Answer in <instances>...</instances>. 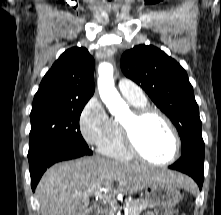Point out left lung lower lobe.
Returning a JSON list of instances; mask_svg holds the SVG:
<instances>
[{"label":"left lung lower lobe","mask_w":221,"mask_h":215,"mask_svg":"<svg viewBox=\"0 0 221 215\" xmlns=\"http://www.w3.org/2000/svg\"><path fill=\"white\" fill-rule=\"evenodd\" d=\"M204 151L189 150L182 154L180 159L173 165L169 166L170 169L183 172L191 176L201 190L204 180Z\"/></svg>","instance_id":"left-lung-lower-lobe-1"}]
</instances>
